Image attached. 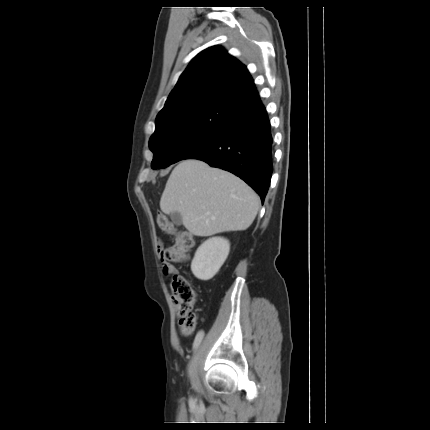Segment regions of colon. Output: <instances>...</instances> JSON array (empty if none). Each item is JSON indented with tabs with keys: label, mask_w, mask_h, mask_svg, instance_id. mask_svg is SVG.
Returning <instances> with one entry per match:
<instances>
[{
	"label": "colon",
	"mask_w": 430,
	"mask_h": 430,
	"mask_svg": "<svg viewBox=\"0 0 430 430\" xmlns=\"http://www.w3.org/2000/svg\"><path fill=\"white\" fill-rule=\"evenodd\" d=\"M157 224L163 231L175 238L173 244L159 247L160 258H166V263L185 261L194 246L192 236L185 232H178L167 216L162 213L157 215ZM170 286L179 318V328L183 335L189 336L195 331L197 324V317L194 312L197 299L196 291L189 280L178 273L172 275Z\"/></svg>",
	"instance_id": "5ec220e1"
}]
</instances>
